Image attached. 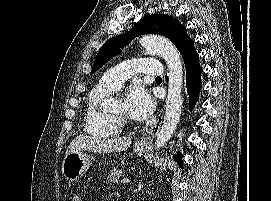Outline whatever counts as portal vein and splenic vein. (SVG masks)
I'll return each instance as SVG.
<instances>
[{
  "instance_id": "1",
  "label": "portal vein and splenic vein",
  "mask_w": 271,
  "mask_h": 201,
  "mask_svg": "<svg viewBox=\"0 0 271 201\" xmlns=\"http://www.w3.org/2000/svg\"><path fill=\"white\" fill-rule=\"evenodd\" d=\"M129 182H130L129 179H122V180H121V183H124V184H125V183H129Z\"/></svg>"
}]
</instances>
